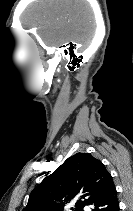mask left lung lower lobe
<instances>
[{"mask_svg": "<svg viewBox=\"0 0 133 211\" xmlns=\"http://www.w3.org/2000/svg\"><path fill=\"white\" fill-rule=\"evenodd\" d=\"M92 207V211H119V203L115 186L112 187L109 192Z\"/></svg>", "mask_w": 133, "mask_h": 211, "instance_id": "0a47b994", "label": "left lung lower lobe"}]
</instances>
